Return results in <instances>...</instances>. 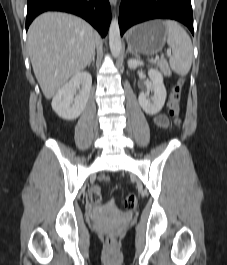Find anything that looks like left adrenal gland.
Masks as SVG:
<instances>
[{
  "instance_id": "1",
  "label": "left adrenal gland",
  "mask_w": 227,
  "mask_h": 265,
  "mask_svg": "<svg viewBox=\"0 0 227 265\" xmlns=\"http://www.w3.org/2000/svg\"><path fill=\"white\" fill-rule=\"evenodd\" d=\"M128 52L133 53L130 48L127 49L126 53H128Z\"/></svg>"
}]
</instances>
